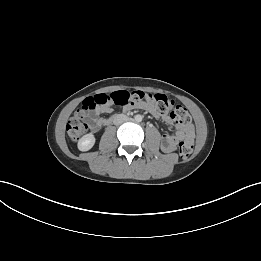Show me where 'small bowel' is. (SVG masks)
Instances as JSON below:
<instances>
[{
  "instance_id": "1",
  "label": "small bowel",
  "mask_w": 261,
  "mask_h": 261,
  "mask_svg": "<svg viewBox=\"0 0 261 261\" xmlns=\"http://www.w3.org/2000/svg\"><path fill=\"white\" fill-rule=\"evenodd\" d=\"M142 108L150 111L155 117L162 119L166 124H172V119L168 114H160L151 106H140ZM111 108L106 107L101 110H97L90 118V128L92 131H98L102 126L107 123V119L101 116L102 112H110ZM194 139V129L191 125L178 126V130L173 135H163L161 137V149L165 153H171L176 150L177 145L183 140H193Z\"/></svg>"
}]
</instances>
